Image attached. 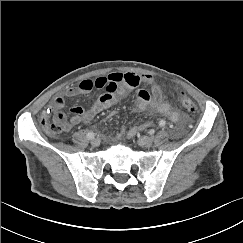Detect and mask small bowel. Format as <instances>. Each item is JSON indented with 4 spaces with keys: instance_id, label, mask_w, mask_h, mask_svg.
Listing matches in <instances>:
<instances>
[{
    "instance_id": "obj_1",
    "label": "small bowel",
    "mask_w": 243,
    "mask_h": 243,
    "mask_svg": "<svg viewBox=\"0 0 243 243\" xmlns=\"http://www.w3.org/2000/svg\"><path fill=\"white\" fill-rule=\"evenodd\" d=\"M140 83L147 84L150 87V93L145 90L137 91L136 100L138 110H143L148 104H151L154 112L167 115L172 122H178L180 120V114L170 104L163 101L162 90L154 77L150 74L139 76L134 73H111L95 79H83L76 86L65 89L61 95L57 96L44 110V114H49L62 108L65 97H76L98 89L102 93L89 108L80 105H75L70 108L72 117L69 123L66 122V130L81 123L88 124L101 111L120 103L128 92L136 88ZM141 128L131 127L127 131V136L129 138L134 137ZM123 135L124 131L118 134L119 137Z\"/></svg>"
}]
</instances>
